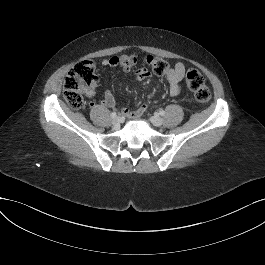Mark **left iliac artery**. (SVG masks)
<instances>
[{"label":"left iliac artery","instance_id":"44dca946","mask_svg":"<svg viewBox=\"0 0 265 265\" xmlns=\"http://www.w3.org/2000/svg\"><path fill=\"white\" fill-rule=\"evenodd\" d=\"M159 114H160L161 116H164V114H165V111H163V110H160V111H159Z\"/></svg>","mask_w":265,"mask_h":265}]
</instances>
